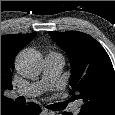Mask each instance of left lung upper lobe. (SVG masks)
<instances>
[{"instance_id": "1", "label": "left lung upper lobe", "mask_w": 115, "mask_h": 115, "mask_svg": "<svg viewBox=\"0 0 115 115\" xmlns=\"http://www.w3.org/2000/svg\"><path fill=\"white\" fill-rule=\"evenodd\" d=\"M71 64V95L83 100V115H115V74L104 48L90 35L77 31L49 32Z\"/></svg>"}]
</instances>
